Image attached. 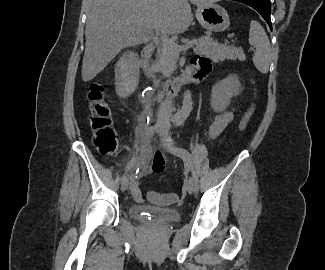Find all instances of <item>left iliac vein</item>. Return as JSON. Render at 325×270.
<instances>
[{
	"instance_id": "left-iliac-vein-1",
	"label": "left iliac vein",
	"mask_w": 325,
	"mask_h": 270,
	"mask_svg": "<svg viewBox=\"0 0 325 270\" xmlns=\"http://www.w3.org/2000/svg\"><path fill=\"white\" fill-rule=\"evenodd\" d=\"M168 132H169V126L165 125L162 130L160 131V135L162 137V146L163 148L171 153L174 156L182 157L177 151L176 146L168 139ZM187 191L189 194L193 193L195 191V182L193 177H190L187 183Z\"/></svg>"
}]
</instances>
